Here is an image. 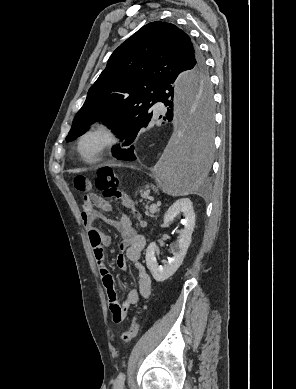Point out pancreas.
Returning <instances> with one entry per match:
<instances>
[{
	"label": "pancreas",
	"instance_id": "obj_1",
	"mask_svg": "<svg viewBox=\"0 0 296 389\" xmlns=\"http://www.w3.org/2000/svg\"><path fill=\"white\" fill-rule=\"evenodd\" d=\"M149 211L151 212V214H154L157 211V206H156V211L152 210L151 207L149 208Z\"/></svg>",
	"mask_w": 296,
	"mask_h": 389
}]
</instances>
